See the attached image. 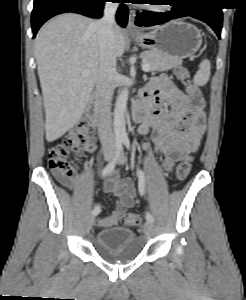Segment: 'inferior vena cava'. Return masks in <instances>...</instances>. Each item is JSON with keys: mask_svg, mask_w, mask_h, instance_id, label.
Listing matches in <instances>:
<instances>
[{"mask_svg": "<svg viewBox=\"0 0 246 300\" xmlns=\"http://www.w3.org/2000/svg\"><path fill=\"white\" fill-rule=\"evenodd\" d=\"M118 4L107 2L103 17L96 22L100 47L101 65L96 80L99 94L98 133L105 153L115 150V134L112 129L111 100L116 87V57L114 56L115 13Z\"/></svg>", "mask_w": 246, "mask_h": 300, "instance_id": "602c4592", "label": "inferior vena cava"}]
</instances>
